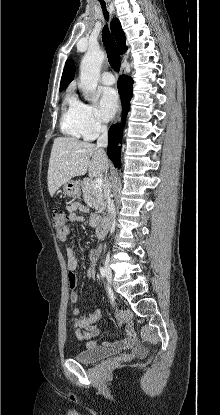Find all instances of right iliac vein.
Wrapping results in <instances>:
<instances>
[{
  "label": "right iliac vein",
  "mask_w": 220,
  "mask_h": 415,
  "mask_svg": "<svg viewBox=\"0 0 220 415\" xmlns=\"http://www.w3.org/2000/svg\"><path fill=\"white\" fill-rule=\"evenodd\" d=\"M103 264H104V272H105V275H106L108 281L110 283H112L113 274H112V270H111V268L109 266V260L107 258L104 259Z\"/></svg>",
  "instance_id": "right-iliac-vein-1"
}]
</instances>
